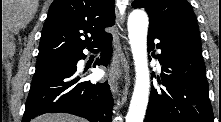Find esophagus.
<instances>
[{
    "mask_svg": "<svg viewBox=\"0 0 221 122\" xmlns=\"http://www.w3.org/2000/svg\"><path fill=\"white\" fill-rule=\"evenodd\" d=\"M129 66L123 56L117 52L113 63L111 65V69L109 72V85L113 94H115L118 90V81L124 76L125 78L128 76Z\"/></svg>",
    "mask_w": 221,
    "mask_h": 122,
    "instance_id": "obj_1",
    "label": "esophagus"
}]
</instances>
